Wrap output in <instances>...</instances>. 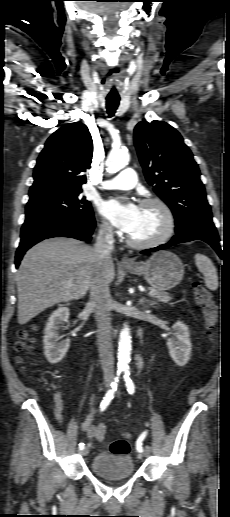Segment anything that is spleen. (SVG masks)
I'll use <instances>...</instances> for the list:
<instances>
[{
	"label": "spleen",
	"mask_w": 230,
	"mask_h": 517,
	"mask_svg": "<svg viewBox=\"0 0 230 517\" xmlns=\"http://www.w3.org/2000/svg\"><path fill=\"white\" fill-rule=\"evenodd\" d=\"M195 263L198 270L203 274L205 285L209 290L215 291L218 288L217 270L207 256L203 254L195 255Z\"/></svg>",
	"instance_id": "3e777b00"
}]
</instances>
